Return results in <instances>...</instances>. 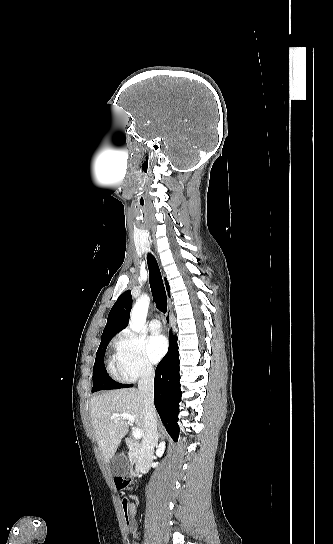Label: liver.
<instances>
[{
    "instance_id": "1",
    "label": "liver",
    "mask_w": 333,
    "mask_h": 544,
    "mask_svg": "<svg viewBox=\"0 0 333 544\" xmlns=\"http://www.w3.org/2000/svg\"><path fill=\"white\" fill-rule=\"evenodd\" d=\"M90 413L95 437L106 463L128 433L130 424L121 417L111 420L113 413L133 415L136 428L144 434V400L136 388L112 390L94 396L90 402Z\"/></svg>"
}]
</instances>
